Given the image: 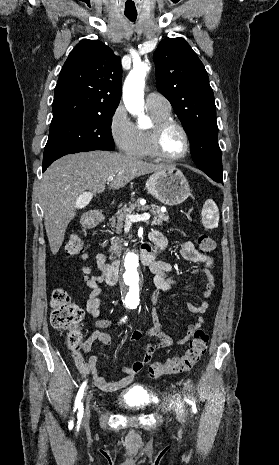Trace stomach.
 I'll return each instance as SVG.
<instances>
[{
    "label": "stomach",
    "instance_id": "obj_1",
    "mask_svg": "<svg viewBox=\"0 0 279 465\" xmlns=\"http://www.w3.org/2000/svg\"><path fill=\"white\" fill-rule=\"evenodd\" d=\"M146 189L164 205L174 206L184 202L190 195V187L183 173L175 167L154 172L146 181ZM95 218L84 221L85 226L95 225Z\"/></svg>",
    "mask_w": 279,
    "mask_h": 465
}]
</instances>
